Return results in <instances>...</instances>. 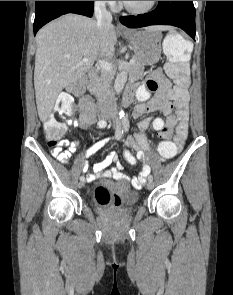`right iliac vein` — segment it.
<instances>
[{"label": "right iliac vein", "mask_w": 233, "mask_h": 295, "mask_svg": "<svg viewBox=\"0 0 233 295\" xmlns=\"http://www.w3.org/2000/svg\"><path fill=\"white\" fill-rule=\"evenodd\" d=\"M84 184H85V179L80 180V182L78 183V187L82 188L84 186Z\"/></svg>", "instance_id": "63e3f726"}]
</instances>
